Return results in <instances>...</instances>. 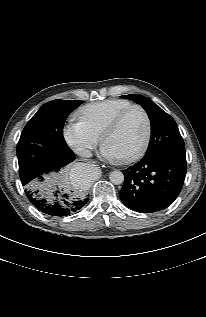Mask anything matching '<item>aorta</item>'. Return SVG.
<instances>
[{
    "label": "aorta",
    "instance_id": "762f6f07",
    "mask_svg": "<svg viewBox=\"0 0 206 317\" xmlns=\"http://www.w3.org/2000/svg\"><path fill=\"white\" fill-rule=\"evenodd\" d=\"M93 171V168L90 166H84L82 168V177L83 178H87L89 176V174ZM109 179L110 181L115 184V185H119L122 184L124 181V174L121 171H112L109 175Z\"/></svg>",
    "mask_w": 206,
    "mask_h": 317
}]
</instances>
